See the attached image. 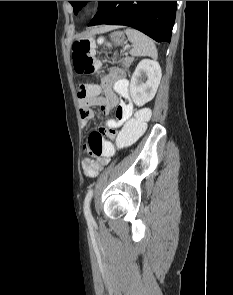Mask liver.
<instances>
[{
	"mask_svg": "<svg viewBox=\"0 0 233 295\" xmlns=\"http://www.w3.org/2000/svg\"><path fill=\"white\" fill-rule=\"evenodd\" d=\"M115 28H116L115 26H104V27H100V28L95 29L93 32L94 33H104L106 31H109V30H112Z\"/></svg>",
	"mask_w": 233,
	"mask_h": 295,
	"instance_id": "liver-1",
	"label": "liver"
}]
</instances>
